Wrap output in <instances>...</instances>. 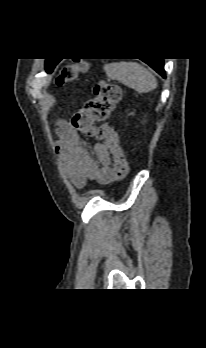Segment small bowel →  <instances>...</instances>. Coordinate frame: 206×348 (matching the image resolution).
Listing matches in <instances>:
<instances>
[{"label":"small bowel","mask_w":206,"mask_h":348,"mask_svg":"<svg viewBox=\"0 0 206 348\" xmlns=\"http://www.w3.org/2000/svg\"><path fill=\"white\" fill-rule=\"evenodd\" d=\"M56 132V149L63 172L76 187H84L87 180H97L102 184L114 180L110 153L104 144L93 145L92 157L85 143L68 122L59 121L56 124Z\"/></svg>","instance_id":"obj_1"}]
</instances>
